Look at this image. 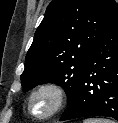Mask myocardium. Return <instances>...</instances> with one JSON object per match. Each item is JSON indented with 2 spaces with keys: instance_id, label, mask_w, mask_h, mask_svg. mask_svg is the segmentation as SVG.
<instances>
[{
  "instance_id": "1",
  "label": "myocardium",
  "mask_w": 118,
  "mask_h": 123,
  "mask_svg": "<svg viewBox=\"0 0 118 123\" xmlns=\"http://www.w3.org/2000/svg\"><path fill=\"white\" fill-rule=\"evenodd\" d=\"M42 94H50L53 99V104L49 112L46 114H36L32 109L33 100ZM66 101V90L65 88L55 81H46L38 84L34 87L27 97V111L28 113L39 120H46L55 116L64 106Z\"/></svg>"
}]
</instances>
